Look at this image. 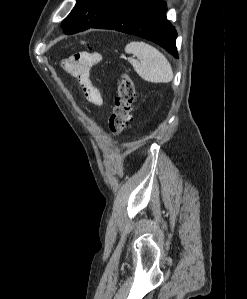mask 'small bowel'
Here are the masks:
<instances>
[{
	"label": "small bowel",
	"mask_w": 247,
	"mask_h": 299,
	"mask_svg": "<svg viewBox=\"0 0 247 299\" xmlns=\"http://www.w3.org/2000/svg\"><path fill=\"white\" fill-rule=\"evenodd\" d=\"M100 54L80 52L64 62L65 68L75 77L86 99L95 106L103 103L99 89L91 82L90 71L101 62Z\"/></svg>",
	"instance_id": "obj_1"
}]
</instances>
